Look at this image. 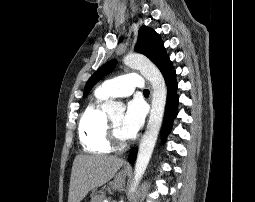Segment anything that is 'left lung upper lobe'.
<instances>
[{
  "label": "left lung upper lobe",
  "mask_w": 255,
  "mask_h": 202,
  "mask_svg": "<svg viewBox=\"0 0 255 202\" xmlns=\"http://www.w3.org/2000/svg\"><path fill=\"white\" fill-rule=\"evenodd\" d=\"M135 50L139 53L147 56L152 62H154L163 74L165 81L170 78L176 72L173 70L172 64L167 56L162 40L159 35L152 29L143 26L139 29L138 40L135 46ZM116 65V60H111L100 67L88 80L84 96L88 94L90 89L95 85L97 81L102 79L105 75L110 73Z\"/></svg>",
  "instance_id": "1"
}]
</instances>
